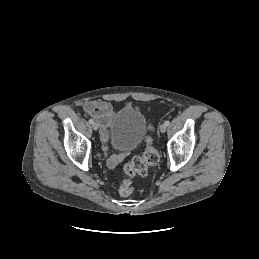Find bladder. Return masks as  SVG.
Masks as SVG:
<instances>
[{
  "label": "bladder",
  "instance_id": "31cf9c89",
  "mask_svg": "<svg viewBox=\"0 0 259 259\" xmlns=\"http://www.w3.org/2000/svg\"><path fill=\"white\" fill-rule=\"evenodd\" d=\"M147 122L144 115L130 107L114 116L110 128V145L118 150H133L145 139Z\"/></svg>",
  "mask_w": 259,
  "mask_h": 259
}]
</instances>
